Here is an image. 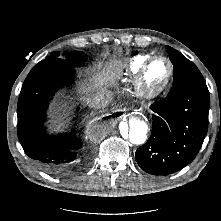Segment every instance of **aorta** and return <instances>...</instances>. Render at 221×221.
Segmentation results:
<instances>
[{
  "mask_svg": "<svg viewBox=\"0 0 221 221\" xmlns=\"http://www.w3.org/2000/svg\"><path fill=\"white\" fill-rule=\"evenodd\" d=\"M148 124L140 115L130 116L119 125V137L134 145H141L146 141Z\"/></svg>",
  "mask_w": 221,
  "mask_h": 221,
  "instance_id": "aorta-1",
  "label": "aorta"
}]
</instances>
